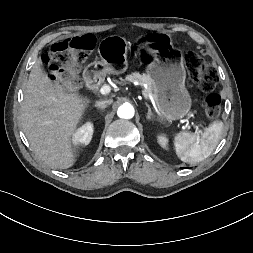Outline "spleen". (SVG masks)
Masks as SVG:
<instances>
[{
    "label": "spleen",
    "mask_w": 253,
    "mask_h": 253,
    "mask_svg": "<svg viewBox=\"0 0 253 253\" xmlns=\"http://www.w3.org/2000/svg\"><path fill=\"white\" fill-rule=\"evenodd\" d=\"M223 131V122L214 121L201 134L180 132L174 138V147L178 158L195 165L215 150Z\"/></svg>",
    "instance_id": "obj_1"
}]
</instances>
